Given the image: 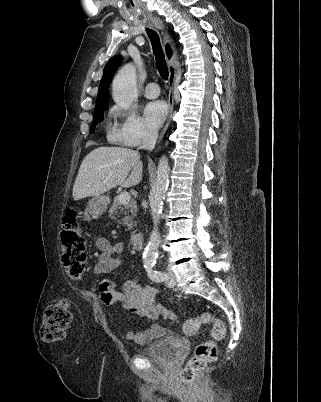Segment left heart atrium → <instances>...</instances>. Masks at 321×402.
I'll return each mask as SVG.
<instances>
[{
  "label": "left heart atrium",
  "instance_id": "left-heart-atrium-1",
  "mask_svg": "<svg viewBox=\"0 0 321 402\" xmlns=\"http://www.w3.org/2000/svg\"><path fill=\"white\" fill-rule=\"evenodd\" d=\"M168 113V108L163 101L149 102L144 108V118L148 126L155 130L161 126Z\"/></svg>",
  "mask_w": 321,
  "mask_h": 402
}]
</instances>
